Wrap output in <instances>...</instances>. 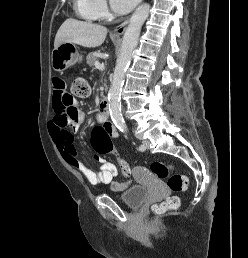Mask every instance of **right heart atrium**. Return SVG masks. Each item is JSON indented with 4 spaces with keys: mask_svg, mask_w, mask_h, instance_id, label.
I'll list each match as a JSON object with an SVG mask.
<instances>
[{
    "mask_svg": "<svg viewBox=\"0 0 248 258\" xmlns=\"http://www.w3.org/2000/svg\"><path fill=\"white\" fill-rule=\"evenodd\" d=\"M92 7L98 18H104L108 15V7L105 0H91Z\"/></svg>",
    "mask_w": 248,
    "mask_h": 258,
    "instance_id": "d8ad5b80",
    "label": "right heart atrium"
}]
</instances>
